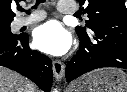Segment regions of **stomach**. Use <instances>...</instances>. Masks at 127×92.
Instances as JSON below:
<instances>
[{"label":"stomach","instance_id":"0dacf381","mask_svg":"<svg viewBox=\"0 0 127 92\" xmlns=\"http://www.w3.org/2000/svg\"><path fill=\"white\" fill-rule=\"evenodd\" d=\"M68 92H127V74L117 68L97 69L76 80Z\"/></svg>","mask_w":127,"mask_h":92}]
</instances>
